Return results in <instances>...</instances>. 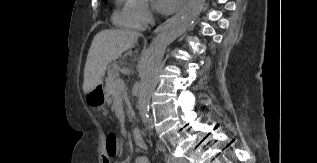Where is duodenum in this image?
Masks as SVG:
<instances>
[{
	"label": "duodenum",
	"mask_w": 317,
	"mask_h": 163,
	"mask_svg": "<svg viewBox=\"0 0 317 163\" xmlns=\"http://www.w3.org/2000/svg\"><path fill=\"white\" fill-rule=\"evenodd\" d=\"M132 137L134 143L139 146V147H145L146 146V141L145 138L142 134V132L139 129H134L132 131Z\"/></svg>",
	"instance_id": "1"
}]
</instances>
